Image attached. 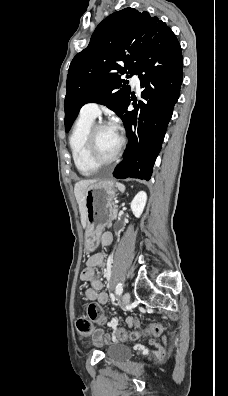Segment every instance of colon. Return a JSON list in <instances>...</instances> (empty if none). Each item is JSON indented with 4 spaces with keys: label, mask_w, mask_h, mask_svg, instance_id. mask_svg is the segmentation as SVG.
Masks as SVG:
<instances>
[{
    "label": "colon",
    "mask_w": 228,
    "mask_h": 396,
    "mask_svg": "<svg viewBox=\"0 0 228 396\" xmlns=\"http://www.w3.org/2000/svg\"><path fill=\"white\" fill-rule=\"evenodd\" d=\"M87 318H79L77 320V329L80 335L84 338H90L94 335V323H104L105 314L102 307L98 304L92 303L88 307ZM162 333V325L159 322H153L145 328H140L132 332H128L125 329H119L117 331V338L121 341L128 339H137L139 337H156Z\"/></svg>",
    "instance_id": "colon-1"
}]
</instances>
